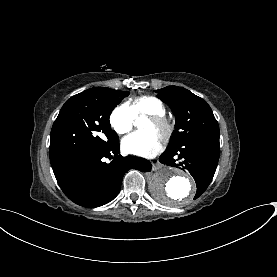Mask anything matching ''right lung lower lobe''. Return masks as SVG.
<instances>
[{
    "instance_id": "obj_1",
    "label": "right lung lower lobe",
    "mask_w": 277,
    "mask_h": 277,
    "mask_svg": "<svg viewBox=\"0 0 277 277\" xmlns=\"http://www.w3.org/2000/svg\"><path fill=\"white\" fill-rule=\"evenodd\" d=\"M119 153L118 142L102 150L63 155L51 160V166L60 188L70 200L83 207H99L118 195L122 178L129 169L151 170L149 161L122 157Z\"/></svg>"
}]
</instances>
